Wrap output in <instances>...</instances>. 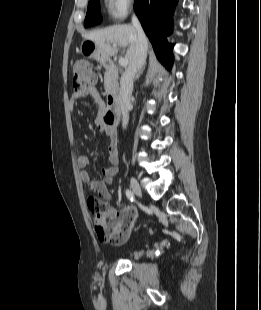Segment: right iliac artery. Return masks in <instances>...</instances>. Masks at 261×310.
<instances>
[{
  "label": "right iliac artery",
  "mask_w": 261,
  "mask_h": 310,
  "mask_svg": "<svg viewBox=\"0 0 261 310\" xmlns=\"http://www.w3.org/2000/svg\"><path fill=\"white\" fill-rule=\"evenodd\" d=\"M125 194H126V196H127V198L130 200V201H134V194H133V192L131 191V190H129V189H127L126 191H125Z\"/></svg>",
  "instance_id": "right-iliac-artery-1"
}]
</instances>
